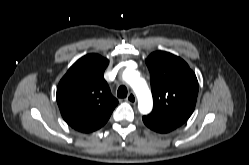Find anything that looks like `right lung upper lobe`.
<instances>
[{"instance_id": "cb5924a9", "label": "right lung upper lobe", "mask_w": 249, "mask_h": 165, "mask_svg": "<svg viewBox=\"0 0 249 165\" xmlns=\"http://www.w3.org/2000/svg\"><path fill=\"white\" fill-rule=\"evenodd\" d=\"M108 64V59L88 54L76 61L58 84L61 115L77 131L89 133L101 128L118 104L103 77Z\"/></svg>"}]
</instances>
